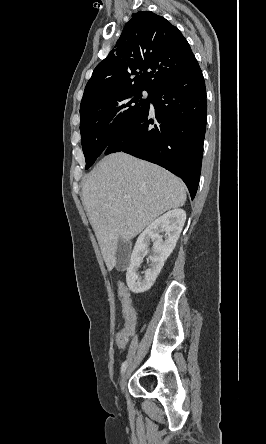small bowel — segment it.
Listing matches in <instances>:
<instances>
[{"label":"small bowel","mask_w":266,"mask_h":444,"mask_svg":"<svg viewBox=\"0 0 266 444\" xmlns=\"http://www.w3.org/2000/svg\"><path fill=\"white\" fill-rule=\"evenodd\" d=\"M117 296L121 302L124 325L117 333L116 343L124 347L135 333L138 317L131 293L123 283L117 285Z\"/></svg>","instance_id":"small-bowel-1"}]
</instances>
